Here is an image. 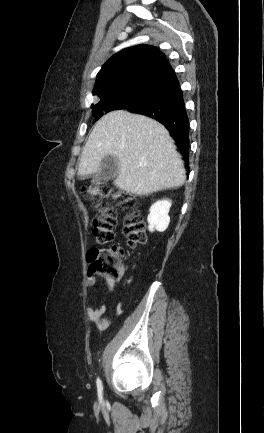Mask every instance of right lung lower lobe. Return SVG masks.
Returning a JSON list of instances; mask_svg holds the SVG:
<instances>
[{"label":"right lung lower lobe","mask_w":264,"mask_h":433,"mask_svg":"<svg viewBox=\"0 0 264 433\" xmlns=\"http://www.w3.org/2000/svg\"><path fill=\"white\" fill-rule=\"evenodd\" d=\"M125 109L162 123L177 141L188 164L189 120L178 79L167 61L141 85Z\"/></svg>","instance_id":"obj_1"}]
</instances>
